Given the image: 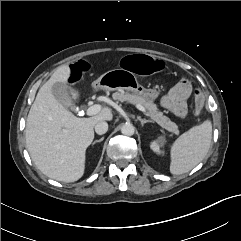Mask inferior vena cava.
I'll list each match as a JSON object with an SVG mask.
<instances>
[{
  "mask_svg": "<svg viewBox=\"0 0 241 241\" xmlns=\"http://www.w3.org/2000/svg\"><path fill=\"white\" fill-rule=\"evenodd\" d=\"M108 130V124L105 121H100L95 125V132L98 135H103L107 132Z\"/></svg>",
  "mask_w": 241,
  "mask_h": 241,
  "instance_id": "602c4592",
  "label": "inferior vena cava"
}]
</instances>
